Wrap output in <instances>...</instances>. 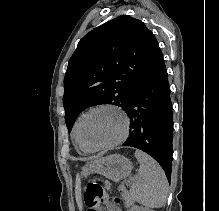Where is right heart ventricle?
Instances as JSON below:
<instances>
[{"instance_id":"right-heart-ventricle-1","label":"right heart ventricle","mask_w":219,"mask_h":211,"mask_svg":"<svg viewBox=\"0 0 219 211\" xmlns=\"http://www.w3.org/2000/svg\"><path fill=\"white\" fill-rule=\"evenodd\" d=\"M81 119V116L76 120L75 124H74V127H73V138H74V141H75V144L80 147L83 151L85 152H89L90 150L84 148L80 142H79V138H78V125H79V121Z\"/></svg>"}]
</instances>
